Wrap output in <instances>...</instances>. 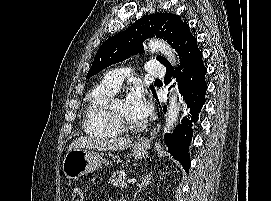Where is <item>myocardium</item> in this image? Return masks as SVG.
Listing matches in <instances>:
<instances>
[{
    "instance_id": "myocardium-1",
    "label": "myocardium",
    "mask_w": 271,
    "mask_h": 201,
    "mask_svg": "<svg viewBox=\"0 0 271 201\" xmlns=\"http://www.w3.org/2000/svg\"><path fill=\"white\" fill-rule=\"evenodd\" d=\"M122 99L121 97H113L110 100L108 105V112L113 120V122L122 130V131H129V132H138L141 131L144 127V123H131L125 119H123L120 115H118L114 110V104L118 100Z\"/></svg>"
}]
</instances>
